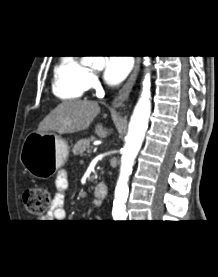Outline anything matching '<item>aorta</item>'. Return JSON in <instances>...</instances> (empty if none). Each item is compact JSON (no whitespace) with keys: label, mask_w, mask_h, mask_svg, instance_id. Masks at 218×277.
I'll use <instances>...</instances> for the list:
<instances>
[{"label":"aorta","mask_w":218,"mask_h":277,"mask_svg":"<svg viewBox=\"0 0 218 277\" xmlns=\"http://www.w3.org/2000/svg\"><path fill=\"white\" fill-rule=\"evenodd\" d=\"M94 66L104 64L103 56H90L88 59ZM144 65H150L148 56L144 57ZM151 113L150 74L146 73L143 80V89L130 119L126 143L122 150L120 174L115 189L112 215L115 220H125L127 217L126 201L128 197V180L132 173L134 160L141 148L148 128Z\"/></svg>","instance_id":"aorta-1"}]
</instances>
